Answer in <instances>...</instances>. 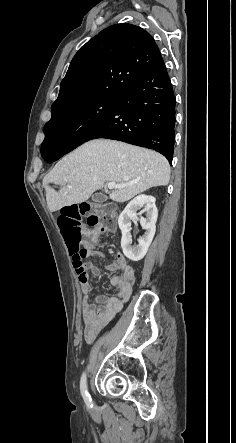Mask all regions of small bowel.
Returning a JSON list of instances; mask_svg holds the SVG:
<instances>
[{
  "label": "small bowel",
  "instance_id": "small-bowel-1",
  "mask_svg": "<svg viewBox=\"0 0 236 443\" xmlns=\"http://www.w3.org/2000/svg\"><path fill=\"white\" fill-rule=\"evenodd\" d=\"M90 235L86 244L90 248L91 256H103L96 248L99 232L95 229L87 231ZM107 270L115 273L110 279V285L116 289L112 296L97 295L91 299L94 287L90 282L89 274L100 276V268L92 262L84 263L82 268H75V273L85 299L81 305L84 321L83 335L87 343L94 341L96 336L107 325L113 315L119 311L131 293L135 280L134 269L120 253L107 264Z\"/></svg>",
  "mask_w": 236,
  "mask_h": 443
}]
</instances>
